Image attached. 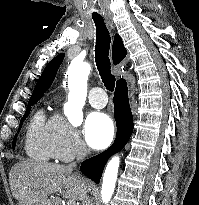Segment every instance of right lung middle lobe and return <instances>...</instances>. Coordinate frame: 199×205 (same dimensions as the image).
<instances>
[{
	"mask_svg": "<svg viewBox=\"0 0 199 205\" xmlns=\"http://www.w3.org/2000/svg\"><path fill=\"white\" fill-rule=\"evenodd\" d=\"M37 101H38V99L28 102V106H27V109H26V112H25L23 118L21 119L18 132H19L20 129H21V126H22V124H23V121H24L25 118L28 116V114H29V112H30V110H31V106L34 105ZM16 138H17V135H15V137H14V139H13V142H12V147H13V148H14L15 145H16Z\"/></svg>",
	"mask_w": 199,
	"mask_h": 205,
	"instance_id": "1",
	"label": "right lung middle lobe"
}]
</instances>
